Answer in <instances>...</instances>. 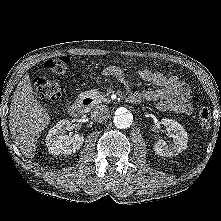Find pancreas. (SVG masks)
Instances as JSON below:
<instances>
[{
    "instance_id": "1",
    "label": "pancreas",
    "mask_w": 221,
    "mask_h": 221,
    "mask_svg": "<svg viewBox=\"0 0 221 221\" xmlns=\"http://www.w3.org/2000/svg\"><path fill=\"white\" fill-rule=\"evenodd\" d=\"M85 94L90 97H93L97 102L107 101L106 96L97 90H90V91H87Z\"/></svg>"
}]
</instances>
